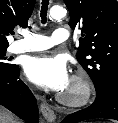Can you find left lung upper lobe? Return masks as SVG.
<instances>
[{
  "label": "left lung upper lobe",
  "mask_w": 118,
  "mask_h": 123,
  "mask_svg": "<svg viewBox=\"0 0 118 123\" xmlns=\"http://www.w3.org/2000/svg\"><path fill=\"white\" fill-rule=\"evenodd\" d=\"M64 2L70 13V27L82 30L76 57L99 92L108 82L118 78V2Z\"/></svg>",
  "instance_id": "obj_1"
}]
</instances>
